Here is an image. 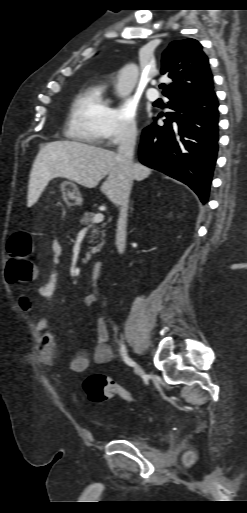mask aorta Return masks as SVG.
I'll return each mask as SVG.
<instances>
[{
  "instance_id": "1",
  "label": "aorta",
  "mask_w": 247,
  "mask_h": 513,
  "mask_svg": "<svg viewBox=\"0 0 247 513\" xmlns=\"http://www.w3.org/2000/svg\"><path fill=\"white\" fill-rule=\"evenodd\" d=\"M138 67L134 63L124 66L118 75L116 85L117 94L120 97L128 96L134 89L138 79Z\"/></svg>"
}]
</instances>
